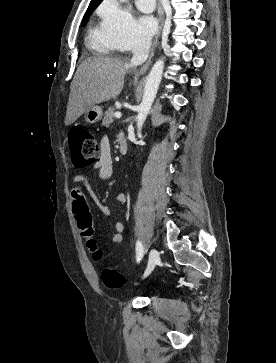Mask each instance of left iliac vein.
I'll return each mask as SVG.
<instances>
[{"instance_id": "obj_1", "label": "left iliac vein", "mask_w": 276, "mask_h": 363, "mask_svg": "<svg viewBox=\"0 0 276 363\" xmlns=\"http://www.w3.org/2000/svg\"><path fill=\"white\" fill-rule=\"evenodd\" d=\"M159 261V254L156 249H151L149 253L147 269L144 273V277L147 276L156 266Z\"/></svg>"}]
</instances>
